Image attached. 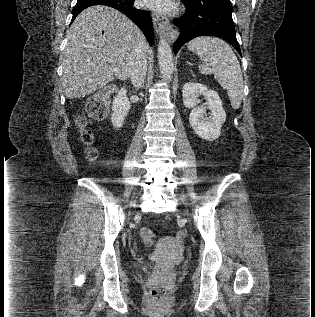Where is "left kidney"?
Listing matches in <instances>:
<instances>
[{
	"mask_svg": "<svg viewBox=\"0 0 315 317\" xmlns=\"http://www.w3.org/2000/svg\"><path fill=\"white\" fill-rule=\"evenodd\" d=\"M199 95L206 98L205 106L196 107ZM182 96L185 107L192 108L189 122L194 132L208 141L217 139L221 134L222 124L226 120V113L218 93L201 83L189 82L184 84ZM206 108L211 111L209 118L205 117Z\"/></svg>",
	"mask_w": 315,
	"mask_h": 317,
	"instance_id": "1",
	"label": "left kidney"
}]
</instances>
